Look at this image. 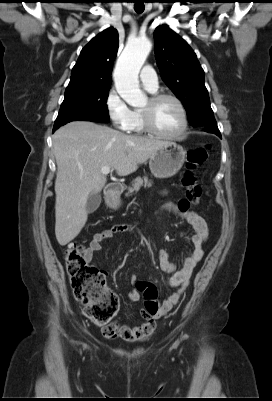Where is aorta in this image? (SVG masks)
Here are the masks:
<instances>
[{
  "label": "aorta",
  "instance_id": "762f6f07",
  "mask_svg": "<svg viewBox=\"0 0 272 401\" xmlns=\"http://www.w3.org/2000/svg\"><path fill=\"white\" fill-rule=\"evenodd\" d=\"M152 48L147 38L129 42L119 57L113 77L115 87L122 99L131 106H140L147 96L139 87L138 74Z\"/></svg>",
  "mask_w": 272,
  "mask_h": 401
}]
</instances>
